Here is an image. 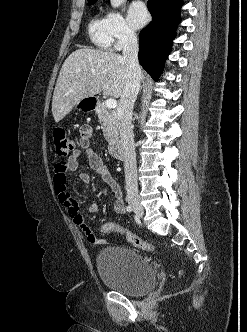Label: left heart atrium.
<instances>
[{"instance_id":"39dd6f15","label":"left heart atrium","mask_w":247,"mask_h":332,"mask_svg":"<svg viewBox=\"0 0 247 332\" xmlns=\"http://www.w3.org/2000/svg\"><path fill=\"white\" fill-rule=\"evenodd\" d=\"M128 18L134 27L144 26L149 19L145 5L142 2H133L128 9Z\"/></svg>"}]
</instances>
